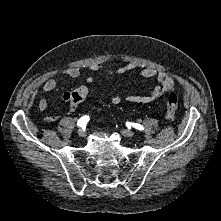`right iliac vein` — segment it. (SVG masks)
<instances>
[{
    "label": "right iliac vein",
    "mask_w": 221,
    "mask_h": 221,
    "mask_svg": "<svg viewBox=\"0 0 221 221\" xmlns=\"http://www.w3.org/2000/svg\"><path fill=\"white\" fill-rule=\"evenodd\" d=\"M85 135H86V132H85L84 129H79V130H78V136H79V137H85Z\"/></svg>",
    "instance_id": "1"
}]
</instances>
